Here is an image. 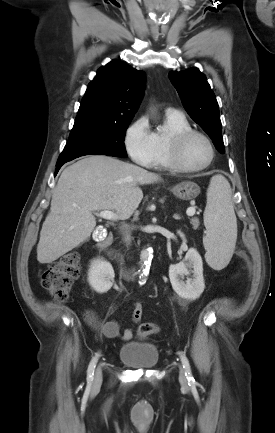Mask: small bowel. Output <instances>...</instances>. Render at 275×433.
Wrapping results in <instances>:
<instances>
[{
	"instance_id": "obj_1",
	"label": "small bowel",
	"mask_w": 275,
	"mask_h": 433,
	"mask_svg": "<svg viewBox=\"0 0 275 433\" xmlns=\"http://www.w3.org/2000/svg\"><path fill=\"white\" fill-rule=\"evenodd\" d=\"M142 317V306L140 303H134L132 305V313H131V321L133 325H136L140 322ZM103 333L107 338H115L120 333V325L116 320H109L103 325ZM133 337V328L129 327L124 330L122 334L123 340H130ZM138 337L141 339L146 338V336L140 335L138 333Z\"/></svg>"
}]
</instances>
